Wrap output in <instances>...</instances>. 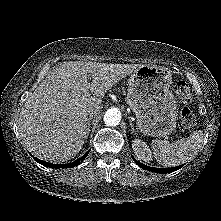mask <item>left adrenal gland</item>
Segmentation results:
<instances>
[{"instance_id":"1","label":"left adrenal gland","mask_w":221,"mask_h":221,"mask_svg":"<svg viewBox=\"0 0 221 221\" xmlns=\"http://www.w3.org/2000/svg\"><path fill=\"white\" fill-rule=\"evenodd\" d=\"M129 124H130V127H131V131H132V132H136L135 129H134V125H133V123L131 122V120L129 121Z\"/></svg>"}]
</instances>
